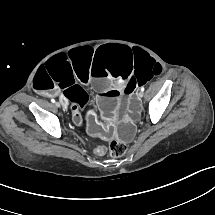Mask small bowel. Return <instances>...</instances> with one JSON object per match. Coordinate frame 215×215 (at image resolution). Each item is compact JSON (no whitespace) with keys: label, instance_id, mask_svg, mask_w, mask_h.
Segmentation results:
<instances>
[{"label":"small bowel","instance_id":"1","mask_svg":"<svg viewBox=\"0 0 215 215\" xmlns=\"http://www.w3.org/2000/svg\"><path fill=\"white\" fill-rule=\"evenodd\" d=\"M95 151L97 154L101 155L104 153V148L103 147H97Z\"/></svg>","mask_w":215,"mask_h":215}]
</instances>
